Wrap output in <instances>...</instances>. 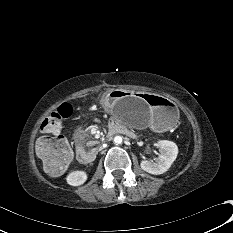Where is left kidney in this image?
Masks as SVG:
<instances>
[{
    "label": "left kidney",
    "instance_id": "1",
    "mask_svg": "<svg viewBox=\"0 0 233 233\" xmlns=\"http://www.w3.org/2000/svg\"><path fill=\"white\" fill-rule=\"evenodd\" d=\"M156 145L160 148L158 160L156 162L143 160L140 163V166L144 171L153 175H159L166 172L176 160L178 154V147L172 141L160 140Z\"/></svg>",
    "mask_w": 233,
    "mask_h": 233
}]
</instances>
